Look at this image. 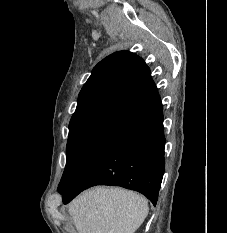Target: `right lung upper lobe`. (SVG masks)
<instances>
[{
  "instance_id": "1",
  "label": "right lung upper lobe",
  "mask_w": 227,
  "mask_h": 233,
  "mask_svg": "<svg viewBox=\"0 0 227 233\" xmlns=\"http://www.w3.org/2000/svg\"><path fill=\"white\" fill-rule=\"evenodd\" d=\"M162 109L151 72L142 58L115 52L92 71L78 96L69 133L127 130Z\"/></svg>"
}]
</instances>
